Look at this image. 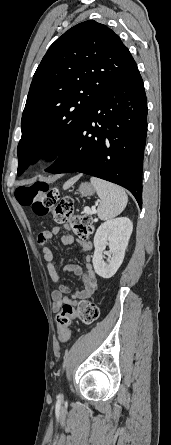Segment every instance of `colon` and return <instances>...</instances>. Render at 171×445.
I'll return each instance as SVG.
<instances>
[{
  "label": "colon",
  "mask_w": 171,
  "mask_h": 445,
  "mask_svg": "<svg viewBox=\"0 0 171 445\" xmlns=\"http://www.w3.org/2000/svg\"><path fill=\"white\" fill-rule=\"evenodd\" d=\"M16 199L23 207L31 208L38 216L50 215L54 222L70 228L80 239L88 238L93 232L94 221L90 215L76 214L70 197H62L58 191L45 183L22 186L16 190ZM100 315L98 306L83 300L77 310L65 307L55 315V322L61 329L60 338L66 340V329L72 318H78L85 325L93 324Z\"/></svg>",
  "instance_id": "1"
}]
</instances>
